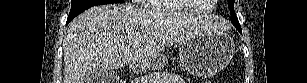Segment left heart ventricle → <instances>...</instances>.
Returning <instances> with one entry per match:
<instances>
[{
  "mask_svg": "<svg viewBox=\"0 0 307 83\" xmlns=\"http://www.w3.org/2000/svg\"><path fill=\"white\" fill-rule=\"evenodd\" d=\"M191 2L194 3L195 5H197V7L200 8V9H207V8H209V5H206V4L199 5L198 4V3H205V1L203 2V1H200V0H198V1H196V0L192 1L191 0Z\"/></svg>",
  "mask_w": 307,
  "mask_h": 83,
  "instance_id": "left-heart-ventricle-1",
  "label": "left heart ventricle"
}]
</instances>
